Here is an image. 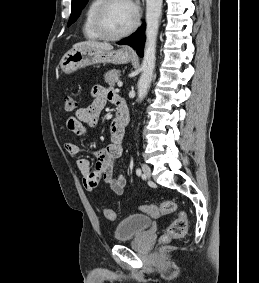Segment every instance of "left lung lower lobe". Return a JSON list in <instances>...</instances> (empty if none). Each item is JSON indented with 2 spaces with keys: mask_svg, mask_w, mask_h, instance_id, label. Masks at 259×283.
I'll use <instances>...</instances> for the list:
<instances>
[{
  "mask_svg": "<svg viewBox=\"0 0 259 283\" xmlns=\"http://www.w3.org/2000/svg\"><path fill=\"white\" fill-rule=\"evenodd\" d=\"M145 24H143L136 33L130 37L118 42L119 45H130L136 49L137 54L143 57V47L145 42Z\"/></svg>",
  "mask_w": 259,
  "mask_h": 283,
  "instance_id": "left-lung-lower-lobe-1",
  "label": "left lung lower lobe"
}]
</instances>
